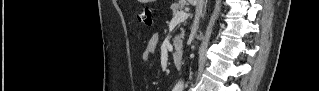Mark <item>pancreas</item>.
<instances>
[{
	"label": "pancreas",
	"mask_w": 319,
	"mask_h": 91,
	"mask_svg": "<svg viewBox=\"0 0 319 91\" xmlns=\"http://www.w3.org/2000/svg\"><path fill=\"white\" fill-rule=\"evenodd\" d=\"M183 7H184L183 3H179V4L175 3L171 6V10H172L173 14H176L177 12L182 11ZM183 38H184L183 35L176 37L174 40V45L179 47V48H182V39Z\"/></svg>",
	"instance_id": "1"
}]
</instances>
